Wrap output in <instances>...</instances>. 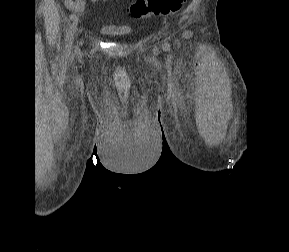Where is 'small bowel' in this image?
Segmentation results:
<instances>
[{
    "instance_id": "1",
    "label": "small bowel",
    "mask_w": 289,
    "mask_h": 252,
    "mask_svg": "<svg viewBox=\"0 0 289 252\" xmlns=\"http://www.w3.org/2000/svg\"><path fill=\"white\" fill-rule=\"evenodd\" d=\"M91 2H97L98 0H90ZM65 6L74 13H81L85 11L87 5L85 0H65Z\"/></svg>"
}]
</instances>
